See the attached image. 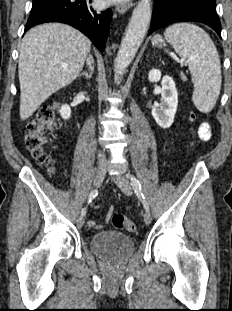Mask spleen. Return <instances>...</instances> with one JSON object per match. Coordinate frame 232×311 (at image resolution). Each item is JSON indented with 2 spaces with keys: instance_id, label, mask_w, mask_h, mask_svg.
<instances>
[{
  "instance_id": "spleen-1",
  "label": "spleen",
  "mask_w": 232,
  "mask_h": 311,
  "mask_svg": "<svg viewBox=\"0 0 232 311\" xmlns=\"http://www.w3.org/2000/svg\"><path fill=\"white\" fill-rule=\"evenodd\" d=\"M164 37L180 57L188 60L195 107L202 113L210 112L222 83L220 59L213 41L203 29L191 23L168 27Z\"/></svg>"
}]
</instances>
